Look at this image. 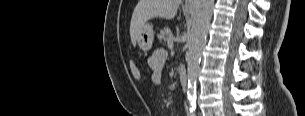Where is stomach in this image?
Wrapping results in <instances>:
<instances>
[{
    "label": "stomach",
    "instance_id": "0dacf381",
    "mask_svg": "<svg viewBox=\"0 0 305 116\" xmlns=\"http://www.w3.org/2000/svg\"><path fill=\"white\" fill-rule=\"evenodd\" d=\"M187 13H190L191 10H186ZM154 41V32L151 24H145L138 39V46L143 51H148L152 48Z\"/></svg>",
    "mask_w": 305,
    "mask_h": 116
}]
</instances>
